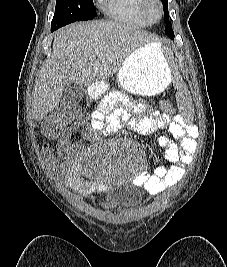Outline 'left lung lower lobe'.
Masks as SVG:
<instances>
[{
    "label": "left lung lower lobe",
    "instance_id": "1",
    "mask_svg": "<svg viewBox=\"0 0 227 267\" xmlns=\"http://www.w3.org/2000/svg\"><path fill=\"white\" fill-rule=\"evenodd\" d=\"M165 33L169 38L174 39V32H173L172 26L166 27Z\"/></svg>",
    "mask_w": 227,
    "mask_h": 267
}]
</instances>
